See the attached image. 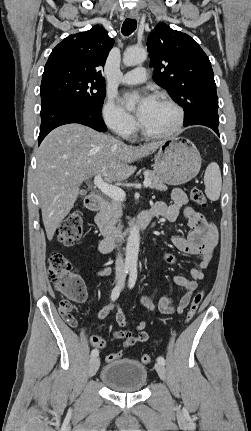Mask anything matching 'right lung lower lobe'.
<instances>
[{
  "mask_svg": "<svg viewBox=\"0 0 251 431\" xmlns=\"http://www.w3.org/2000/svg\"><path fill=\"white\" fill-rule=\"evenodd\" d=\"M69 123L83 124L101 132L107 130L101 112L66 101H55L41 107L38 145L51 130Z\"/></svg>",
  "mask_w": 251,
  "mask_h": 431,
  "instance_id": "right-lung-lower-lobe-1",
  "label": "right lung lower lobe"
}]
</instances>
